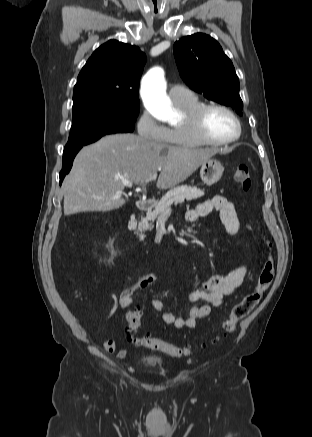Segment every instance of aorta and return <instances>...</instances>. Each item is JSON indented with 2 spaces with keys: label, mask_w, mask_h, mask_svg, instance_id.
Here are the masks:
<instances>
[{
  "label": "aorta",
  "mask_w": 312,
  "mask_h": 437,
  "mask_svg": "<svg viewBox=\"0 0 312 437\" xmlns=\"http://www.w3.org/2000/svg\"><path fill=\"white\" fill-rule=\"evenodd\" d=\"M141 96L147 110L159 121L167 122L173 118L170 99L166 94L163 70L150 69L143 77Z\"/></svg>",
  "instance_id": "762f6f07"
}]
</instances>
